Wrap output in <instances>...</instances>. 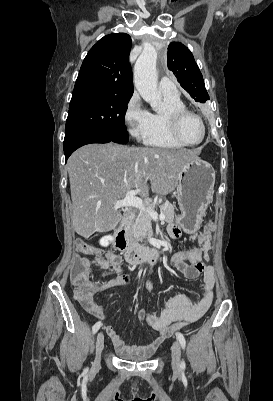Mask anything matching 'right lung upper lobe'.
Returning <instances> with one entry per match:
<instances>
[{"mask_svg":"<svg viewBox=\"0 0 273 401\" xmlns=\"http://www.w3.org/2000/svg\"><path fill=\"white\" fill-rule=\"evenodd\" d=\"M128 34L115 33L100 39L86 55L72 96L84 94L131 97L133 81L128 61Z\"/></svg>","mask_w":273,"mask_h":401,"instance_id":"obj_1","label":"right lung upper lobe"}]
</instances>
